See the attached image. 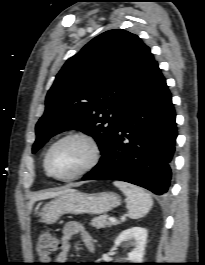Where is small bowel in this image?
<instances>
[{
	"instance_id": "obj_1",
	"label": "small bowel",
	"mask_w": 205,
	"mask_h": 265,
	"mask_svg": "<svg viewBox=\"0 0 205 265\" xmlns=\"http://www.w3.org/2000/svg\"><path fill=\"white\" fill-rule=\"evenodd\" d=\"M80 235L85 248L89 252H93L94 243L92 237L85 231L83 226L75 221L67 222L62 230V237L59 242V253L56 256V263L58 265L64 264L68 258L71 249V241L74 237Z\"/></svg>"
}]
</instances>
